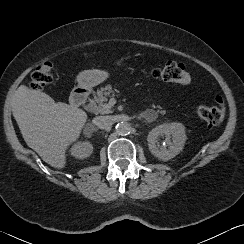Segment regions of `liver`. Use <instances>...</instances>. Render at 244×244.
<instances>
[{
  "label": "liver",
  "mask_w": 244,
  "mask_h": 244,
  "mask_svg": "<svg viewBox=\"0 0 244 244\" xmlns=\"http://www.w3.org/2000/svg\"><path fill=\"white\" fill-rule=\"evenodd\" d=\"M12 112L26 144L50 166L66 165V150L83 129L87 114L82 109L55 102L46 93L21 85L12 101Z\"/></svg>",
  "instance_id": "6515ba94"
}]
</instances>
